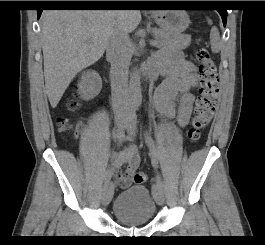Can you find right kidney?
Listing matches in <instances>:
<instances>
[{
	"mask_svg": "<svg viewBox=\"0 0 265 245\" xmlns=\"http://www.w3.org/2000/svg\"><path fill=\"white\" fill-rule=\"evenodd\" d=\"M78 88L83 99H92L100 93L102 79L96 71L88 70L83 72L78 83Z\"/></svg>",
	"mask_w": 265,
	"mask_h": 245,
	"instance_id": "obj_1",
	"label": "right kidney"
}]
</instances>
